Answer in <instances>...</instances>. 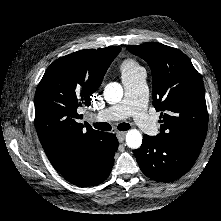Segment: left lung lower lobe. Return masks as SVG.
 Instances as JSON below:
<instances>
[{"mask_svg":"<svg viewBox=\"0 0 221 221\" xmlns=\"http://www.w3.org/2000/svg\"><path fill=\"white\" fill-rule=\"evenodd\" d=\"M199 153L171 139L148 135L143 136L141 147L134 151L142 172L161 182L183 176L193 166Z\"/></svg>","mask_w":221,"mask_h":221,"instance_id":"1","label":"left lung lower lobe"}]
</instances>
